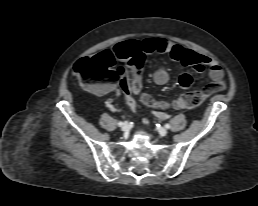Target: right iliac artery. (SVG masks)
<instances>
[{"mask_svg":"<svg viewBox=\"0 0 258 206\" xmlns=\"http://www.w3.org/2000/svg\"><path fill=\"white\" fill-rule=\"evenodd\" d=\"M122 125H123V122H119V123H118V126H122Z\"/></svg>","mask_w":258,"mask_h":206,"instance_id":"82829eb1","label":"right iliac artery"}]
</instances>
